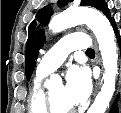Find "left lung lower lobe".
<instances>
[{"mask_svg":"<svg viewBox=\"0 0 121 113\" xmlns=\"http://www.w3.org/2000/svg\"><path fill=\"white\" fill-rule=\"evenodd\" d=\"M109 20H110V22H111V24H112V26H113V28H114V30H115V33H116V35H117V37H118V31H117V28H116L114 19H113V18H110ZM110 113H118V108H117V106H116V101H115L114 104L112 105L111 110H110Z\"/></svg>","mask_w":121,"mask_h":113,"instance_id":"obj_1","label":"left lung lower lobe"}]
</instances>
